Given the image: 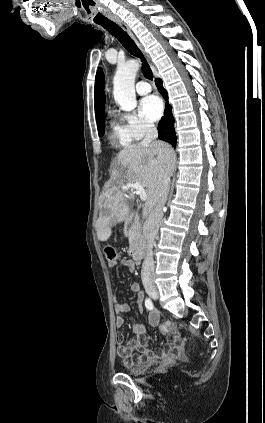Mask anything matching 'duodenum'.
<instances>
[{
	"label": "duodenum",
	"instance_id": "410a0bca",
	"mask_svg": "<svg viewBox=\"0 0 265 423\" xmlns=\"http://www.w3.org/2000/svg\"><path fill=\"white\" fill-rule=\"evenodd\" d=\"M131 255L136 263H139L142 259V252L139 246L137 238L133 237L130 241Z\"/></svg>",
	"mask_w": 265,
	"mask_h": 423
}]
</instances>
